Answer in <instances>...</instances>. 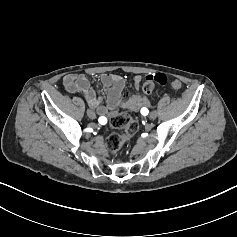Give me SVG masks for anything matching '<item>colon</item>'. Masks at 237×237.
Listing matches in <instances>:
<instances>
[{
    "instance_id": "obj_1",
    "label": "colon",
    "mask_w": 237,
    "mask_h": 237,
    "mask_svg": "<svg viewBox=\"0 0 237 237\" xmlns=\"http://www.w3.org/2000/svg\"><path fill=\"white\" fill-rule=\"evenodd\" d=\"M167 77L162 73H157L153 78L148 79L143 84V91L150 94L154 91L156 84L165 85ZM112 127L122 129L123 134L111 133L106 138V147L111 155H116L121 147L129 142L137 133L139 124L128 114L123 112H113L110 117Z\"/></svg>"
}]
</instances>
